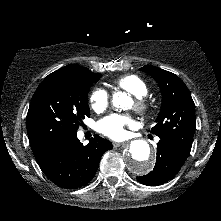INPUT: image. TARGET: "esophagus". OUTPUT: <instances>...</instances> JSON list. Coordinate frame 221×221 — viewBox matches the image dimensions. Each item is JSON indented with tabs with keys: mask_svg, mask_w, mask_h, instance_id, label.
Returning <instances> with one entry per match:
<instances>
[{
	"mask_svg": "<svg viewBox=\"0 0 221 221\" xmlns=\"http://www.w3.org/2000/svg\"><path fill=\"white\" fill-rule=\"evenodd\" d=\"M125 145H128V142H113L114 148H118Z\"/></svg>",
	"mask_w": 221,
	"mask_h": 221,
	"instance_id": "34e87169",
	"label": "esophagus"
}]
</instances>
